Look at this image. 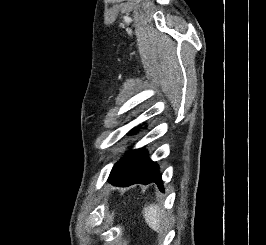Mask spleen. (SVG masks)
<instances>
[{
	"mask_svg": "<svg viewBox=\"0 0 266 245\" xmlns=\"http://www.w3.org/2000/svg\"><path fill=\"white\" fill-rule=\"evenodd\" d=\"M143 217L147 225H149V227H151L153 231H156V233H160L161 211L158 205H149V207H144Z\"/></svg>",
	"mask_w": 266,
	"mask_h": 245,
	"instance_id": "spleen-1",
	"label": "spleen"
}]
</instances>
